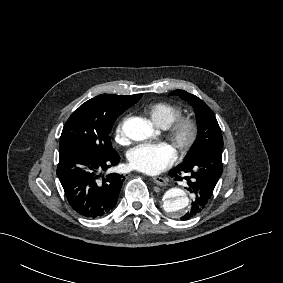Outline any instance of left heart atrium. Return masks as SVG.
I'll use <instances>...</instances> for the list:
<instances>
[{
    "label": "left heart atrium",
    "instance_id": "obj_1",
    "mask_svg": "<svg viewBox=\"0 0 283 283\" xmlns=\"http://www.w3.org/2000/svg\"><path fill=\"white\" fill-rule=\"evenodd\" d=\"M127 159L134 170L156 175L175 163L177 152L166 142L144 143L132 148Z\"/></svg>",
    "mask_w": 283,
    "mask_h": 283
}]
</instances>
